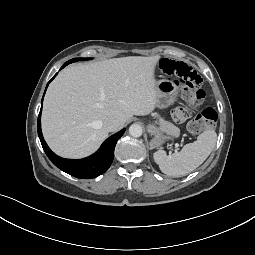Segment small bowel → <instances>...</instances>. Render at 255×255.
Here are the masks:
<instances>
[{"mask_svg":"<svg viewBox=\"0 0 255 255\" xmlns=\"http://www.w3.org/2000/svg\"><path fill=\"white\" fill-rule=\"evenodd\" d=\"M171 118L178 124H187L192 120L193 113L190 109L184 106H179L172 111Z\"/></svg>","mask_w":255,"mask_h":255,"instance_id":"obj_1","label":"small bowel"}]
</instances>
